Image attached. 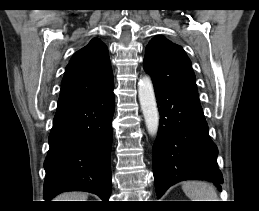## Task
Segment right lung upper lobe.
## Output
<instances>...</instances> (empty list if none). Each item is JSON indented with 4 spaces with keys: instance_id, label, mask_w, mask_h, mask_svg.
Returning a JSON list of instances; mask_svg holds the SVG:
<instances>
[{
    "instance_id": "obj_1",
    "label": "right lung upper lobe",
    "mask_w": 259,
    "mask_h": 211,
    "mask_svg": "<svg viewBox=\"0 0 259 211\" xmlns=\"http://www.w3.org/2000/svg\"><path fill=\"white\" fill-rule=\"evenodd\" d=\"M108 50L94 38L77 51L66 67L58 108L92 99L113 87Z\"/></svg>"
}]
</instances>
